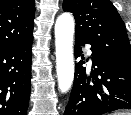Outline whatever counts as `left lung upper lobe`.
Instances as JSON below:
<instances>
[{
	"mask_svg": "<svg viewBox=\"0 0 131 115\" xmlns=\"http://www.w3.org/2000/svg\"><path fill=\"white\" fill-rule=\"evenodd\" d=\"M63 10L73 13L76 36L114 63L131 69V47L125 24L109 0H64Z\"/></svg>",
	"mask_w": 131,
	"mask_h": 115,
	"instance_id": "left-lung-upper-lobe-1",
	"label": "left lung upper lobe"
}]
</instances>
